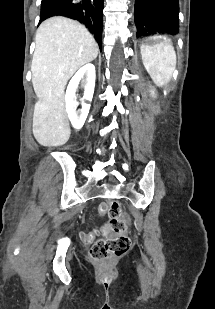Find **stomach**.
<instances>
[{
	"label": "stomach",
	"instance_id": "obj_1",
	"mask_svg": "<svg viewBox=\"0 0 215 309\" xmlns=\"http://www.w3.org/2000/svg\"><path fill=\"white\" fill-rule=\"evenodd\" d=\"M162 39H163L162 37H151V38H150V40H151L152 42H155V43H156V42H160ZM146 43H147V44H150V42H149L148 40L146 41ZM164 43H168V41L165 40Z\"/></svg>",
	"mask_w": 215,
	"mask_h": 309
}]
</instances>
